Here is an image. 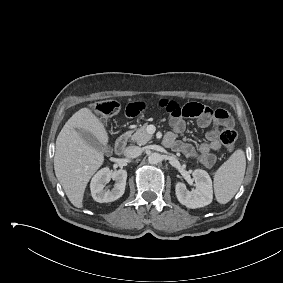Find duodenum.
I'll return each mask as SVG.
<instances>
[{"label":"duodenum","instance_id":"410a0bca","mask_svg":"<svg viewBox=\"0 0 283 283\" xmlns=\"http://www.w3.org/2000/svg\"><path fill=\"white\" fill-rule=\"evenodd\" d=\"M128 139H129L128 133H124L118 137V139L116 140L115 146H114V150L117 155H120L123 153L128 143Z\"/></svg>","mask_w":283,"mask_h":283}]
</instances>
